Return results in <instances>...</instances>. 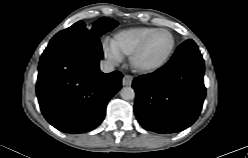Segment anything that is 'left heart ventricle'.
I'll return each mask as SVG.
<instances>
[{"label": "left heart ventricle", "mask_w": 248, "mask_h": 158, "mask_svg": "<svg viewBox=\"0 0 248 158\" xmlns=\"http://www.w3.org/2000/svg\"><path fill=\"white\" fill-rule=\"evenodd\" d=\"M171 46V37L165 32L154 34L149 40L145 50L138 58L142 66H150L161 61Z\"/></svg>", "instance_id": "obj_1"}]
</instances>
